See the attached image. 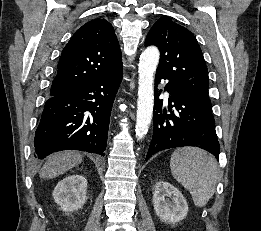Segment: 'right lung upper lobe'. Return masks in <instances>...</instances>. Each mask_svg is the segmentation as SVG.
<instances>
[{
	"mask_svg": "<svg viewBox=\"0 0 261 231\" xmlns=\"http://www.w3.org/2000/svg\"><path fill=\"white\" fill-rule=\"evenodd\" d=\"M121 65V51L112 24L94 19L79 28L63 49L50 95L78 89Z\"/></svg>",
	"mask_w": 261,
	"mask_h": 231,
	"instance_id": "right-lung-upper-lobe-1",
	"label": "right lung upper lobe"
}]
</instances>
